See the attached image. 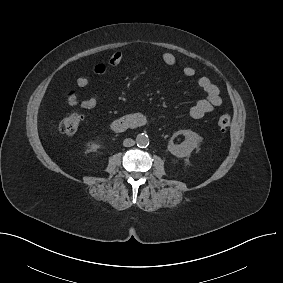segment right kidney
<instances>
[{"instance_id": "right-kidney-1", "label": "right kidney", "mask_w": 283, "mask_h": 283, "mask_svg": "<svg viewBox=\"0 0 283 283\" xmlns=\"http://www.w3.org/2000/svg\"><path fill=\"white\" fill-rule=\"evenodd\" d=\"M101 146L97 143H91L88 145L87 151L88 152H96L98 149H100Z\"/></svg>"}]
</instances>
